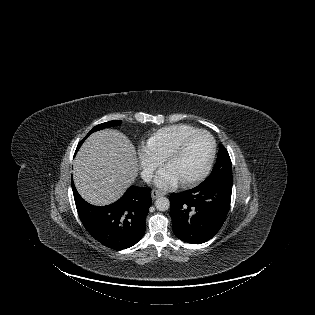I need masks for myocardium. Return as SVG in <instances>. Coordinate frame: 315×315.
I'll use <instances>...</instances> for the list:
<instances>
[{
	"label": "myocardium",
	"instance_id": "obj_1",
	"mask_svg": "<svg viewBox=\"0 0 315 315\" xmlns=\"http://www.w3.org/2000/svg\"><path fill=\"white\" fill-rule=\"evenodd\" d=\"M198 134H205L210 139L211 150H210L209 158L206 162L205 167L203 168V170L198 175H196L192 178L180 181L181 184L184 186L195 185V184L201 182L202 180H204L207 177V175L209 174V172L212 168L214 159H215V155H216V142H215V139L212 136V134L210 132H208L206 130H202V129H198L194 132H191V133L187 134L186 136H184L164 158V165L167 168L169 163L175 157H177L179 154H181V152L183 151V149L185 148V146L189 142V140Z\"/></svg>",
	"mask_w": 315,
	"mask_h": 315
}]
</instances>
